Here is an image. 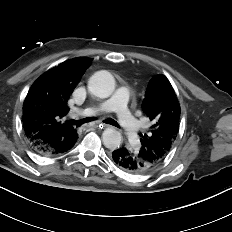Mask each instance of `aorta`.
<instances>
[{"label": "aorta", "mask_w": 232, "mask_h": 232, "mask_svg": "<svg viewBox=\"0 0 232 232\" xmlns=\"http://www.w3.org/2000/svg\"><path fill=\"white\" fill-rule=\"evenodd\" d=\"M115 89L114 77L108 71L96 72L88 81V90L99 98H108ZM102 141L106 148L117 149L122 141L121 133L114 128H107L102 134Z\"/></svg>", "instance_id": "aorta-1"}]
</instances>
